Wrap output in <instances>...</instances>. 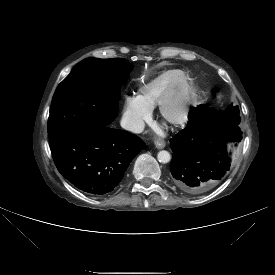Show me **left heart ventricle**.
<instances>
[{"label": "left heart ventricle", "mask_w": 275, "mask_h": 275, "mask_svg": "<svg viewBox=\"0 0 275 275\" xmlns=\"http://www.w3.org/2000/svg\"><path fill=\"white\" fill-rule=\"evenodd\" d=\"M181 90L179 89L174 96L172 103L168 107V112L174 114L178 109L179 99H180Z\"/></svg>", "instance_id": "1"}]
</instances>
